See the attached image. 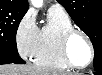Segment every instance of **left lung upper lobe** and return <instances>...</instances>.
<instances>
[{"label":"left lung upper lobe","instance_id":"left-lung-upper-lobe-1","mask_svg":"<svg viewBox=\"0 0 102 75\" xmlns=\"http://www.w3.org/2000/svg\"><path fill=\"white\" fill-rule=\"evenodd\" d=\"M89 36L94 47V69L102 71V0H57Z\"/></svg>","mask_w":102,"mask_h":75}]
</instances>
